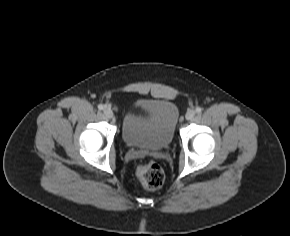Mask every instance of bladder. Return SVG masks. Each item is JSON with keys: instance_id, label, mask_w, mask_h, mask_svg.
Listing matches in <instances>:
<instances>
[{"instance_id": "1", "label": "bladder", "mask_w": 290, "mask_h": 236, "mask_svg": "<svg viewBox=\"0 0 290 236\" xmlns=\"http://www.w3.org/2000/svg\"><path fill=\"white\" fill-rule=\"evenodd\" d=\"M177 120V108L169 101L135 102L125 112L122 140L132 148L163 150L173 141Z\"/></svg>"}]
</instances>
